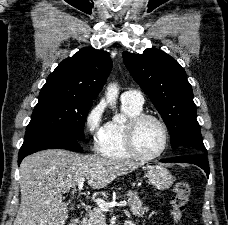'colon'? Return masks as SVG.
Here are the masks:
<instances>
[{"label":"colon","mask_w":228,"mask_h":225,"mask_svg":"<svg viewBox=\"0 0 228 225\" xmlns=\"http://www.w3.org/2000/svg\"><path fill=\"white\" fill-rule=\"evenodd\" d=\"M173 200L171 208V217L175 223L183 219L185 206L191 193V185L186 180H179L173 186Z\"/></svg>","instance_id":"5ec220e1"}]
</instances>
